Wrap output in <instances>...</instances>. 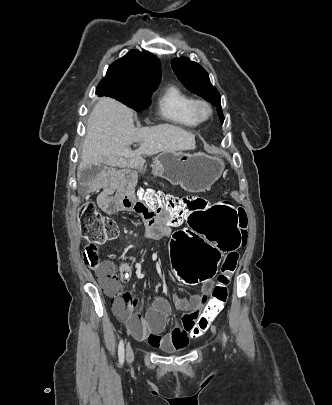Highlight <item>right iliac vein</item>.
<instances>
[{
	"label": "right iliac vein",
	"instance_id": "63e3f726",
	"mask_svg": "<svg viewBox=\"0 0 332 405\" xmlns=\"http://www.w3.org/2000/svg\"><path fill=\"white\" fill-rule=\"evenodd\" d=\"M126 359L128 363H131L134 359V353L130 345H127L126 347Z\"/></svg>",
	"mask_w": 332,
	"mask_h": 405
}]
</instances>
